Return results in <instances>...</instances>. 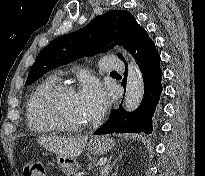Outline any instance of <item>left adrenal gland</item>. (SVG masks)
I'll return each instance as SVG.
<instances>
[{"mask_svg": "<svg viewBox=\"0 0 205 176\" xmlns=\"http://www.w3.org/2000/svg\"><path fill=\"white\" fill-rule=\"evenodd\" d=\"M115 163H116V160L113 163H111V157H110V159L107 161V163L102 167L101 176H108L110 170L115 165Z\"/></svg>", "mask_w": 205, "mask_h": 176, "instance_id": "left-adrenal-gland-1", "label": "left adrenal gland"}]
</instances>
